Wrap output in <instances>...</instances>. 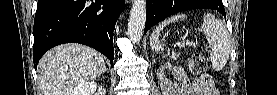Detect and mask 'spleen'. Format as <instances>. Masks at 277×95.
Returning a JSON list of instances; mask_svg holds the SVG:
<instances>
[{
  "label": "spleen",
  "instance_id": "spleen-1",
  "mask_svg": "<svg viewBox=\"0 0 277 95\" xmlns=\"http://www.w3.org/2000/svg\"><path fill=\"white\" fill-rule=\"evenodd\" d=\"M185 17V14H177L160 23L151 34V49L157 53L162 51L163 47L158 38L161 30L170 23L184 19ZM203 21L201 28L211 47L210 59L212 68L220 71L225 67L230 55L231 44L229 33L223 22L210 13L204 15Z\"/></svg>",
  "mask_w": 277,
  "mask_h": 95
}]
</instances>
